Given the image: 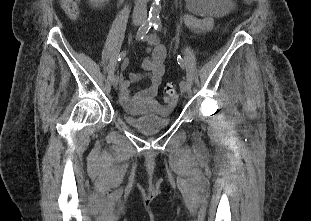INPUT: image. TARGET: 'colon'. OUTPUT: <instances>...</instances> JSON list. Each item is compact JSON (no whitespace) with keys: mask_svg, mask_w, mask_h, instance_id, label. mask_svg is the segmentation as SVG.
<instances>
[{"mask_svg":"<svg viewBox=\"0 0 311 221\" xmlns=\"http://www.w3.org/2000/svg\"><path fill=\"white\" fill-rule=\"evenodd\" d=\"M59 4L65 14L71 19L76 20L80 14V0H59ZM177 89L174 85L168 84L163 89V100L166 104L172 105L177 101Z\"/></svg>","mask_w":311,"mask_h":221,"instance_id":"colon-1","label":"colon"}]
</instances>
